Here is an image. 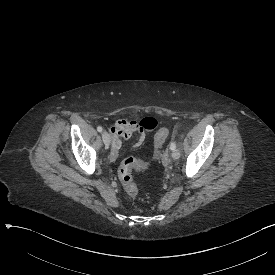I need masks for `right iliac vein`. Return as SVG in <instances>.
I'll use <instances>...</instances> for the list:
<instances>
[{
    "instance_id": "63e3f726",
    "label": "right iliac vein",
    "mask_w": 275,
    "mask_h": 275,
    "mask_svg": "<svg viewBox=\"0 0 275 275\" xmlns=\"http://www.w3.org/2000/svg\"><path fill=\"white\" fill-rule=\"evenodd\" d=\"M102 139H103V142L106 146L110 145L111 138H110V135L106 131H104L102 133Z\"/></svg>"
}]
</instances>
